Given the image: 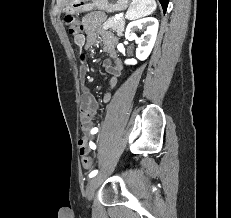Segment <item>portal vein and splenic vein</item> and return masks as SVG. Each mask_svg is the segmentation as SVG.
I'll return each instance as SVG.
<instances>
[{
    "mask_svg": "<svg viewBox=\"0 0 231 218\" xmlns=\"http://www.w3.org/2000/svg\"><path fill=\"white\" fill-rule=\"evenodd\" d=\"M122 16L121 15H116L115 18L116 19H120Z\"/></svg>",
    "mask_w": 231,
    "mask_h": 218,
    "instance_id": "obj_1",
    "label": "portal vein and splenic vein"
}]
</instances>
